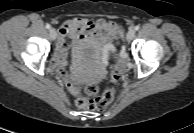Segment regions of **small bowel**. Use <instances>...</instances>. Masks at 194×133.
<instances>
[{
    "label": "small bowel",
    "instance_id": "small-bowel-1",
    "mask_svg": "<svg viewBox=\"0 0 194 133\" xmlns=\"http://www.w3.org/2000/svg\"><path fill=\"white\" fill-rule=\"evenodd\" d=\"M96 33L102 39H106L108 37H118L121 34V29L115 23L107 22L103 19L91 21L80 17L68 19L60 27L53 67L57 74L66 82L68 89L74 94L78 92V88L65 71L67 53L72 45L82 42Z\"/></svg>",
    "mask_w": 194,
    "mask_h": 133
}]
</instances>
